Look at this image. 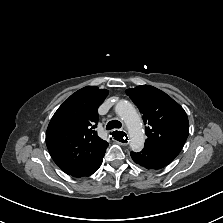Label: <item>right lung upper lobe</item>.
<instances>
[{
	"label": "right lung upper lobe",
	"instance_id": "cb5924a9",
	"mask_svg": "<svg viewBox=\"0 0 223 223\" xmlns=\"http://www.w3.org/2000/svg\"><path fill=\"white\" fill-rule=\"evenodd\" d=\"M108 95L96 86L72 94L55 112L46 132L54 162L71 175L91 166L105 154L108 143L98 137V107Z\"/></svg>",
	"mask_w": 223,
	"mask_h": 223
}]
</instances>
